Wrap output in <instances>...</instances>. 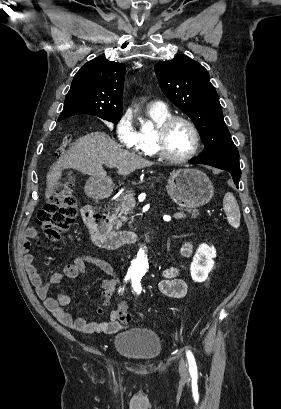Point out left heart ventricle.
Returning <instances> with one entry per match:
<instances>
[{
  "label": "left heart ventricle",
  "instance_id": "1",
  "mask_svg": "<svg viewBox=\"0 0 281 409\" xmlns=\"http://www.w3.org/2000/svg\"><path fill=\"white\" fill-rule=\"evenodd\" d=\"M193 144V135L187 125L176 122L170 127L166 135L165 146L172 156L180 157L188 154Z\"/></svg>",
  "mask_w": 281,
  "mask_h": 409
}]
</instances>
